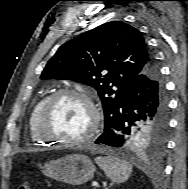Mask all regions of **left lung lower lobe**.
<instances>
[{"label":"left lung lower lobe","mask_w":188,"mask_h":189,"mask_svg":"<svg viewBox=\"0 0 188 189\" xmlns=\"http://www.w3.org/2000/svg\"><path fill=\"white\" fill-rule=\"evenodd\" d=\"M125 91L121 105L112 114L96 144L120 147L126 145L140 127H167L168 99L155 60L128 83Z\"/></svg>","instance_id":"left-lung-lower-lobe-1"}]
</instances>
